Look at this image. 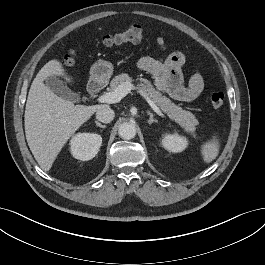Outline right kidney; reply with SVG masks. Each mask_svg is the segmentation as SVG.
<instances>
[{"label":"right kidney","instance_id":"ca27d5eb","mask_svg":"<svg viewBox=\"0 0 265 265\" xmlns=\"http://www.w3.org/2000/svg\"><path fill=\"white\" fill-rule=\"evenodd\" d=\"M102 144V137L96 133H78L70 142L74 158L88 161L96 156Z\"/></svg>","mask_w":265,"mask_h":265}]
</instances>
